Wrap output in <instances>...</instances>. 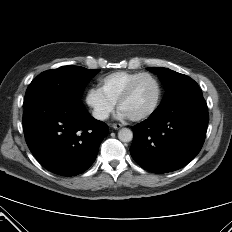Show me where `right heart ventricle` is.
<instances>
[{"label": "right heart ventricle", "instance_id": "right-heart-ventricle-1", "mask_svg": "<svg viewBox=\"0 0 232 232\" xmlns=\"http://www.w3.org/2000/svg\"><path fill=\"white\" fill-rule=\"evenodd\" d=\"M140 73L117 71L102 77L99 82V90L113 104H116L129 83Z\"/></svg>", "mask_w": 232, "mask_h": 232}]
</instances>
